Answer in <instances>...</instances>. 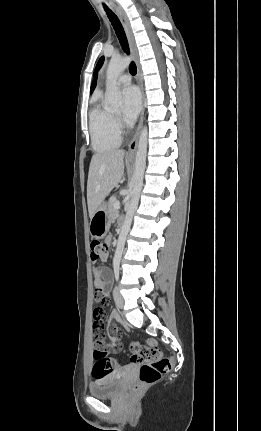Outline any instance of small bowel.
I'll use <instances>...</instances> for the list:
<instances>
[{
	"instance_id": "c3829d8e",
	"label": "small bowel",
	"mask_w": 261,
	"mask_h": 431,
	"mask_svg": "<svg viewBox=\"0 0 261 431\" xmlns=\"http://www.w3.org/2000/svg\"><path fill=\"white\" fill-rule=\"evenodd\" d=\"M107 243L111 242V237H108L106 239ZM108 254L105 255L101 260L107 261ZM93 274H94V295H93V312L91 313V316L93 317V336H94V346L98 348L99 350H102L104 352H110V353H116L121 350V343L119 339L120 330L118 327L111 328V339L108 343H105L103 341L104 334H105V327L107 320L102 316L107 315L108 310L106 308V301L108 300V294L110 285L113 280V276L109 269L105 267H94L93 268ZM110 320L117 319L118 315L115 312H112L110 314ZM134 349H137V346H134ZM131 353H134V350H131ZM115 364H118L120 367L121 365L113 360Z\"/></svg>"
}]
</instances>
